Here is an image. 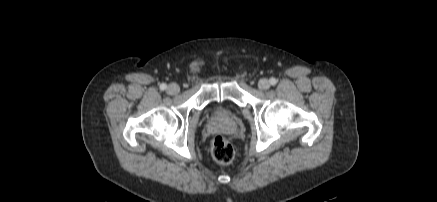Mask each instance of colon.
Masks as SVG:
<instances>
[{
    "label": "colon",
    "mask_w": 437,
    "mask_h": 202,
    "mask_svg": "<svg viewBox=\"0 0 437 202\" xmlns=\"http://www.w3.org/2000/svg\"><path fill=\"white\" fill-rule=\"evenodd\" d=\"M213 159L220 164H229L235 156L231 142L224 136L218 135L214 138L211 146Z\"/></svg>",
    "instance_id": "1"
}]
</instances>
